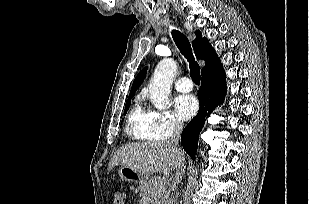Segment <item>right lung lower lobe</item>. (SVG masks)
Returning <instances> with one entry per match:
<instances>
[{
  "instance_id": "98d812e1",
  "label": "right lung lower lobe",
  "mask_w": 309,
  "mask_h": 204,
  "mask_svg": "<svg viewBox=\"0 0 309 204\" xmlns=\"http://www.w3.org/2000/svg\"><path fill=\"white\" fill-rule=\"evenodd\" d=\"M226 94L225 73L222 66L202 74L198 91L200 108L198 114L184 128L181 143L184 150L195 159L198 137L211 111L223 102Z\"/></svg>"
}]
</instances>
